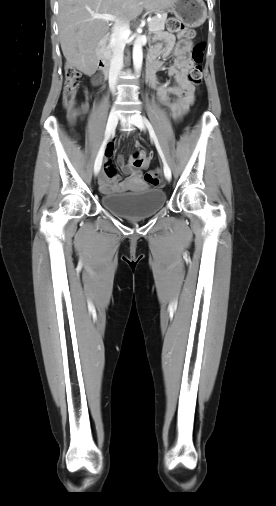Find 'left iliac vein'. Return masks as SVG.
<instances>
[{
  "label": "left iliac vein",
  "instance_id": "1",
  "mask_svg": "<svg viewBox=\"0 0 276 506\" xmlns=\"http://www.w3.org/2000/svg\"><path fill=\"white\" fill-rule=\"evenodd\" d=\"M131 121H132V123H133L134 125H136V126H137L138 128H140L141 130H143V129L145 128V126H144V122H143V119H142L141 115L136 114V115H135V116L131 119ZM164 171H165V172H166V174H167V175H165V176H166V178H167L168 180H171V170H170V168H169V166H168V165H164Z\"/></svg>",
  "mask_w": 276,
  "mask_h": 506
}]
</instances>
